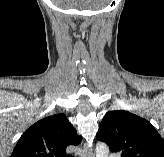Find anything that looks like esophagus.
Listing matches in <instances>:
<instances>
[{
    "instance_id": "esophagus-1",
    "label": "esophagus",
    "mask_w": 164,
    "mask_h": 157,
    "mask_svg": "<svg viewBox=\"0 0 164 157\" xmlns=\"http://www.w3.org/2000/svg\"><path fill=\"white\" fill-rule=\"evenodd\" d=\"M94 154H93V150L88 148L86 145H84V148H83V157H93Z\"/></svg>"
}]
</instances>
